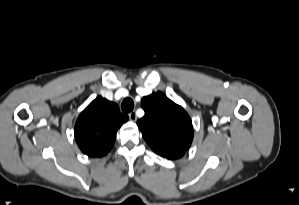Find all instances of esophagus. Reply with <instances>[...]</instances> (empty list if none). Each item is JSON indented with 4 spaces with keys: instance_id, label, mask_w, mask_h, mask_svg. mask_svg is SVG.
<instances>
[{
    "instance_id": "obj_1",
    "label": "esophagus",
    "mask_w": 299,
    "mask_h": 205,
    "mask_svg": "<svg viewBox=\"0 0 299 205\" xmlns=\"http://www.w3.org/2000/svg\"><path fill=\"white\" fill-rule=\"evenodd\" d=\"M129 119L131 121H136L137 120V115L134 111L129 113Z\"/></svg>"
}]
</instances>
